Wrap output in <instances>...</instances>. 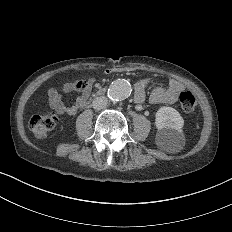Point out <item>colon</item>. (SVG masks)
<instances>
[{
    "instance_id": "1",
    "label": "colon",
    "mask_w": 232,
    "mask_h": 232,
    "mask_svg": "<svg viewBox=\"0 0 232 232\" xmlns=\"http://www.w3.org/2000/svg\"><path fill=\"white\" fill-rule=\"evenodd\" d=\"M73 88L77 92H85L89 88V83L85 79H77L73 83ZM192 99H194V94H181V97H178V102H183V106H181L183 114H194L196 102H192ZM53 124L50 112H37V116H32L31 120H27V125L37 126H28L27 130L35 131L34 137H48Z\"/></svg>"
}]
</instances>
